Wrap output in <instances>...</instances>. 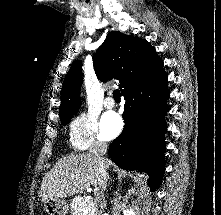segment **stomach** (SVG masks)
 I'll return each mask as SVG.
<instances>
[{
    "instance_id": "1",
    "label": "stomach",
    "mask_w": 221,
    "mask_h": 215,
    "mask_svg": "<svg viewBox=\"0 0 221 215\" xmlns=\"http://www.w3.org/2000/svg\"><path fill=\"white\" fill-rule=\"evenodd\" d=\"M44 207L49 215H67L68 204L64 199H50L44 202Z\"/></svg>"
}]
</instances>
